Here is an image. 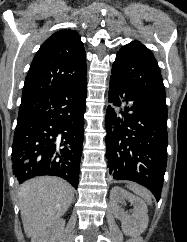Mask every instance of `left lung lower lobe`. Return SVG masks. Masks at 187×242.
Wrapping results in <instances>:
<instances>
[{"mask_svg": "<svg viewBox=\"0 0 187 242\" xmlns=\"http://www.w3.org/2000/svg\"><path fill=\"white\" fill-rule=\"evenodd\" d=\"M106 158L116 180L148 188L159 201L167 163V105L110 77ZM124 108L117 112L114 106Z\"/></svg>", "mask_w": 187, "mask_h": 242, "instance_id": "1", "label": "left lung lower lobe"}]
</instances>
